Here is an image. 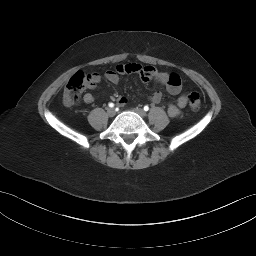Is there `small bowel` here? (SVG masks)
<instances>
[{
  "instance_id": "1",
  "label": "small bowel",
  "mask_w": 256,
  "mask_h": 256,
  "mask_svg": "<svg viewBox=\"0 0 256 256\" xmlns=\"http://www.w3.org/2000/svg\"><path fill=\"white\" fill-rule=\"evenodd\" d=\"M136 73L140 75L143 81L148 82L154 80L155 82L164 85L166 90L171 95H179L175 104H169L167 106V113L170 117L176 118L180 116L181 109L187 105L188 96L181 93L182 84L180 76L176 73H166L159 72L152 66L140 65L136 63L129 64H119L113 70H108L104 73V78L106 81L117 84L120 80L121 74H130ZM92 80L89 84L91 89H96L98 83L101 80V76L97 73L93 74ZM148 98L151 102L159 104L162 99V94L160 92H152L148 94ZM94 96L91 93H86L83 96V101L86 104H91L94 102ZM119 106H126L129 102V99L125 96H119L116 98Z\"/></svg>"
}]
</instances>
